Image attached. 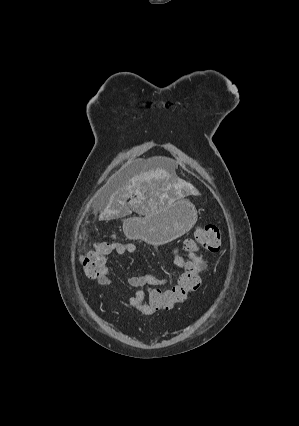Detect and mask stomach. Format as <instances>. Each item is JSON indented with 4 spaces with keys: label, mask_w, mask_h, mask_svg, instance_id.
<instances>
[{
    "label": "stomach",
    "mask_w": 299,
    "mask_h": 426,
    "mask_svg": "<svg viewBox=\"0 0 299 426\" xmlns=\"http://www.w3.org/2000/svg\"><path fill=\"white\" fill-rule=\"evenodd\" d=\"M195 206L185 199L167 202L144 217H130L124 221L125 235L158 247L187 233L197 222Z\"/></svg>",
    "instance_id": "stomach-1"
}]
</instances>
